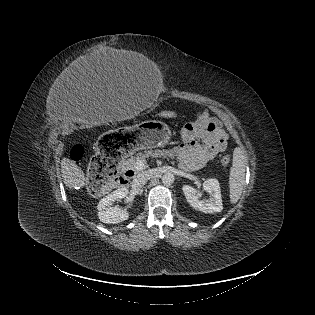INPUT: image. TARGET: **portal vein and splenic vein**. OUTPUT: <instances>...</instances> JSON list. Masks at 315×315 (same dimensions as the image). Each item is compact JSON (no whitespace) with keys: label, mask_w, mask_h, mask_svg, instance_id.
Listing matches in <instances>:
<instances>
[{"label":"portal vein and splenic vein","mask_w":315,"mask_h":315,"mask_svg":"<svg viewBox=\"0 0 315 315\" xmlns=\"http://www.w3.org/2000/svg\"><path fill=\"white\" fill-rule=\"evenodd\" d=\"M143 167H144V163H143L142 161H139V162L137 163V169H138V170H142Z\"/></svg>","instance_id":"obj_1"}]
</instances>
